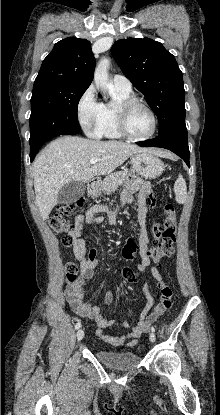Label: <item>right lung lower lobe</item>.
I'll list each match as a JSON object with an SVG mask.
<instances>
[{"label": "right lung lower lobe", "mask_w": 220, "mask_h": 415, "mask_svg": "<svg viewBox=\"0 0 220 415\" xmlns=\"http://www.w3.org/2000/svg\"><path fill=\"white\" fill-rule=\"evenodd\" d=\"M79 131H75L73 132V134L78 133ZM40 148L34 149L32 151H30V160L31 162L33 161L34 157L36 156L37 152L39 151Z\"/></svg>", "instance_id": "98d812e1"}]
</instances>
